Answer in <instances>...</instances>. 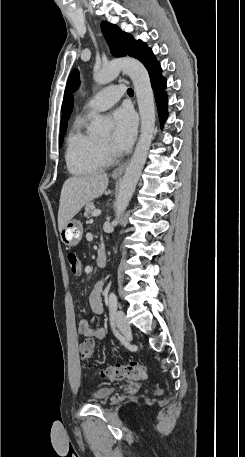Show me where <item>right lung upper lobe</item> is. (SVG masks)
Masks as SVG:
<instances>
[{
	"mask_svg": "<svg viewBox=\"0 0 245 457\" xmlns=\"http://www.w3.org/2000/svg\"><path fill=\"white\" fill-rule=\"evenodd\" d=\"M72 109H73V101L70 102L67 109L64 111V113L62 115L60 129L67 128V122L70 117V114L72 113Z\"/></svg>",
	"mask_w": 245,
	"mask_h": 457,
	"instance_id": "1",
	"label": "right lung upper lobe"
}]
</instances>
